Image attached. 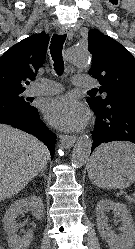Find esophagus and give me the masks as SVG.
Instances as JSON below:
<instances>
[{"label": "esophagus", "mask_w": 135, "mask_h": 249, "mask_svg": "<svg viewBox=\"0 0 135 249\" xmlns=\"http://www.w3.org/2000/svg\"><path fill=\"white\" fill-rule=\"evenodd\" d=\"M59 33L61 35H64L66 34L68 39H72L73 37V31L69 28V27H66V26H63L59 29ZM76 141V136L74 135H60V142L61 144L65 147V148H70L74 145Z\"/></svg>", "instance_id": "esophagus-1"}]
</instances>
